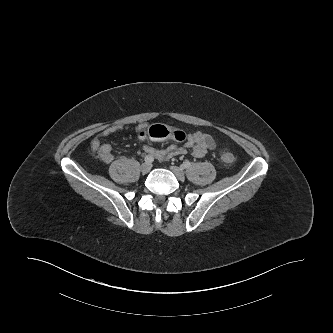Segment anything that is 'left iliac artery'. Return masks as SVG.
<instances>
[{
  "instance_id": "obj_1",
  "label": "left iliac artery",
  "mask_w": 333,
  "mask_h": 333,
  "mask_svg": "<svg viewBox=\"0 0 333 333\" xmlns=\"http://www.w3.org/2000/svg\"><path fill=\"white\" fill-rule=\"evenodd\" d=\"M190 167H191V162H189V161H185L182 164V168H184V169H187V168H190Z\"/></svg>"
}]
</instances>
